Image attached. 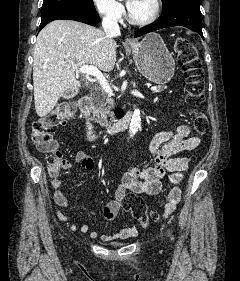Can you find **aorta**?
Segmentation results:
<instances>
[{
	"instance_id": "obj_1",
	"label": "aorta",
	"mask_w": 240,
	"mask_h": 281,
	"mask_svg": "<svg viewBox=\"0 0 240 281\" xmlns=\"http://www.w3.org/2000/svg\"><path fill=\"white\" fill-rule=\"evenodd\" d=\"M140 125H141L140 110L135 109L129 127L130 137H133L138 132Z\"/></svg>"
}]
</instances>
